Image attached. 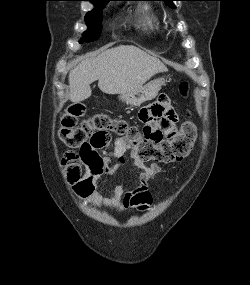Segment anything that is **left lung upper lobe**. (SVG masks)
Wrapping results in <instances>:
<instances>
[{
  "label": "left lung upper lobe",
  "instance_id": "left-lung-upper-lobe-1",
  "mask_svg": "<svg viewBox=\"0 0 250 285\" xmlns=\"http://www.w3.org/2000/svg\"><path fill=\"white\" fill-rule=\"evenodd\" d=\"M158 1H165L170 8H173V9L176 8L173 4V1H177V0H158Z\"/></svg>",
  "mask_w": 250,
  "mask_h": 285
}]
</instances>
